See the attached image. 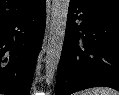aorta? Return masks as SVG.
<instances>
[{"label": "aorta", "instance_id": "762f6f07", "mask_svg": "<svg viewBox=\"0 0 119 95\" xmlns=\"http://www.w3.org/2000/svg\"><path fill=\"white\" fill-rule=\"evenodd\" d=\"M69 0H52L50 32L45 58V80L49 84L58 69L64 43Z\"/></svg>", "mask_w": 119, "mask_h": 95}]
</instances>
